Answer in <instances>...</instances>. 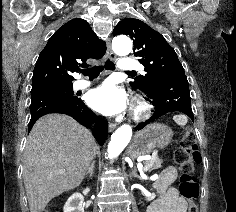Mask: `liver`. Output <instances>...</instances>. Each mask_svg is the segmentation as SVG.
<instances>
[{
	"label": "liver",
	"mask_w": 236,
	"mask_h": 212,
	"mask_svg": "<svg viewBox=\"0 0 236 212\" xmlns=\"http://www.w3.org/2000/svg\"><path fill=\"white\" fill-rule=\"evenodd\" d=\"M97 150L92 134L72 117H41L27 138L24 152L30 212H42L51 199L79 186Z\"/></svg>",
	"instance_id": "liver-1"
}]
</instances>
